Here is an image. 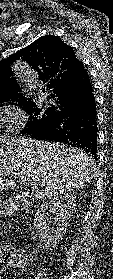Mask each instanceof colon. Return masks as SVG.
<instances>
[{
	"label": "colon",
	"instance_id": "1",
	"mask_svg": "<svg viewBox=\"0 0 113 279\" xmlns=\"http://www.w3.org/2000/svg\"><path fill=\"white\" fill-rule=\"evenodd\" d=\"M14 257L20 258L21 255L14 250H10L7 248L1 249L0 247V266H2L1 264L10 263Z\"/></svg>",
	"mask_w": 113,
	"mask_h": 279
}]
</instances>
